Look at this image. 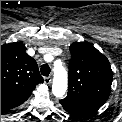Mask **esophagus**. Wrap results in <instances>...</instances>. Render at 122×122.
I'll return each mask as SVG.
<instances>
[{
	"label": "esophagus",
	"mask_w": 122,
	"mask_h": 122,
	"mask_svg": "<svg viewBox=\"0 0 122 122\" xmlns=\"http://www.w3.org/2000/svg\"><path fill=\"white\" fill-rule=\"evenodd\" d=\"M51 82H52V78L51 77H45L44 78V83L45 84L49 85V84H51Z\"/></svg>",
	"instance_id": "1"
}]
</instances>
